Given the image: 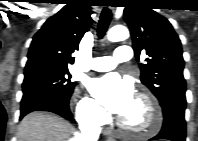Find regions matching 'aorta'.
<instances>
[{
	"label": "aorta",
	"instance_id": "1",
	"mask_svg": "<svg viewBox=\"0 0 198 141\" xmlns=\"http://www.w3.org/2000/svg\"><path fill=\"white\" fill-rule=\"evenodd\" d=\"M107 37L112 42L123 41L129 37V31L125 26L117 25L108 31Z\"/></svg>",
	"mask_w": 198,
	"mask_h": 141
}]
</instances>
